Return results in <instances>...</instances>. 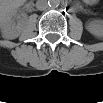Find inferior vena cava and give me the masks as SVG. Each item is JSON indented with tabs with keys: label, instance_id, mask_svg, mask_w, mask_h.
I'll use <instances>...</instances> for the list:
<instances>
[{
	"label": "inferior vena cava",
	"instance_id": "obj_1",
	"mask_svg": "<svg viewBox=\"0 0 103 103\" xmlns=\"http://www.w3.org/2000/svg\"><path fill=\"white\" fill-rule=\"evenodd\" d=\"M36 8H37L38 10H41V11L46 10V9L48 8V3H47V1H46V0H38V1L36 2Z\"/></svg>",
	"mask_w": 103,
	"mask_h": 103
}]
</instances>
